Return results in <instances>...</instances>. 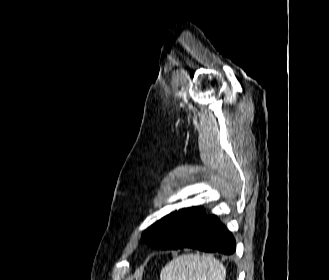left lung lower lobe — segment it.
I'll list each match as a JSON object with an SVG mask.
<instances>
[{
	"instance_id": "obj_1",
	"label": "left lung lower lobe",
	"mask_w": 329,
	"mask_h": 280,
	"mask_svg": "<svg viewBox=\"0 0 329 280\" xmlns=\"http://www.w3.org/2000/svg\"><path fill=\"white\" fill-rule=\"evenodd\" d=\"M169 242L162 249L195 248L206 252H235L232 234L212 216H205L204 209L192 207L166 216L160 225Z\"/></svg>"
}]
</instances>
